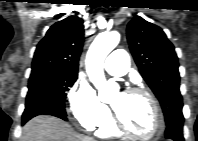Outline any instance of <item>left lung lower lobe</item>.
<instances>
[{
	"label": "left lung lower lobe",
	"mask_w": 198,
	"mask_h": 141,
	"mask_svg": "<svg viewBox=\"0 0 198 141\" xmlns=\"http://www.w3.org/2000/svg\"><path fill=\"white\" fill-rule=\"evenodd\" d=\"M183 122L173 121L166 128L165 136L166 138L173 139L175 141H183Z\"/></svg>",
	"instance_id": "1"
}]
</instances>
